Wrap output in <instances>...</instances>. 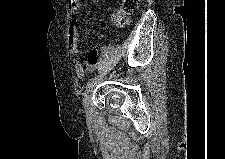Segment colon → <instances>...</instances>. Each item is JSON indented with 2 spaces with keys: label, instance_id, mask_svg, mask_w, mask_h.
Listing matches in <instances>:
<instances>
[{
  "label": "colon",
  "instance_id": "colon-1",
  "mask_svg": "<svg viewBox=\"0 0 225 159\" xmlns=\"http://www.w3.org/2000/svg\"><path fill=\"white\" fill-rule=\"evenodd\" d=\"M71 4H76L78 0H70ZM139 0H123V11L114 15L116 24L122 25L127 22V14L137 9Z\"/></svg>",
  "mask_w": 225,
  "mask_h": 159
}]
</instances>
